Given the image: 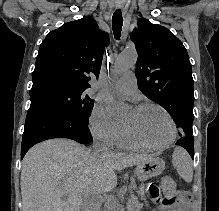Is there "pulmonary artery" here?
I'll list each match as a JSON object with an SVG mask.
<instances>
[{"instance_id": "pulmonary-artery-1", "label": "pulmonary artery", "mask_w": 219, "mask_h": 211, "mask_svg": "<svg viewBox=\"0 0 219 211\" xmlns=\"http://www.w3.org/2000/svg\"><path fill=\"white\" fill-rule=\"evenodd\" d=\"M115 89L121 94L131 95L137 91V80L131 71L125 72L116 82Z\"/></svg>"}]
</instances>
